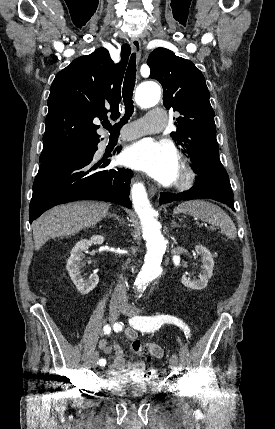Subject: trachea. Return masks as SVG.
<instances>
[{"mask_svg": "<svg viewBox=\"0 0 275 429\" xmlns=\"http://www.w3.org/2000/svg\"><path fill=\"white\" fill-rule=\"evenodd\" d=\"M135 78H136V54L133 53L130 57L129 65L125 74V79L123 83V102L125 105V115L122 117L119 123H116L112 126L109 121L103 123V127L110 131L111 133H118L121 127L127 123L128 119L132 115L134 111L133 106V90L135 86Z\"/></svg>", "mask_w": 275, "mask_h": 429, "instance_id": "obj_1", "label": "trachea"}]
</instances>
